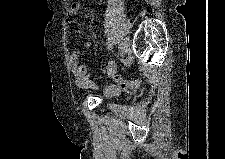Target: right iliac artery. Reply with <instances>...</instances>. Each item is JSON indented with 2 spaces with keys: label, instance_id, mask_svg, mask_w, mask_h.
Here are the masks:
<instances>
[{
  "label": "right iliac artery",
  "instance_id": "right-iliac-artery-1",
  "mask_svg": "<svg viewBox=\"0 0 225 159\" xmlns=\"http://www.w3.org/2000/svg\"><path fill=\"white\" fill-rule=\"evenodd\" d=\"M118 44H119V48L121 49V43H120V41L118 42Z\"/></svg>",
  "mask_w": 225,
  "mask_h": 159
}]
</instances>
